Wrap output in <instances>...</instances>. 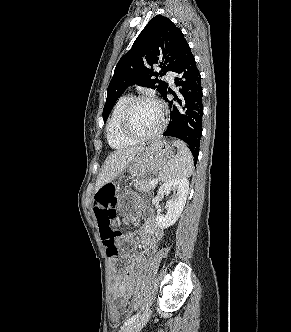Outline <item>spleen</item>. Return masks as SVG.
Segmentation results:
<instances>
[{
  "label": "spleen",
  "mask_w": 291,
  "mask_h": 332,
  "mask_svg": "<svg viewBox=\"0 0 291 332\" xmlns=\"http://www.w3.org/2000/svg\"><path fill=\"white\" fill-rule=\"evenodd\" d=\"M172 145L177 147V154L167 162L159 174L161 181L186 178L194 170L193 156L187 145L181 140H174Z\"/></svg>",
  "instance_id": "spleen-1"
}]
</instances>
